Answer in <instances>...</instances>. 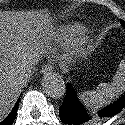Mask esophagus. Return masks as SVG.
Returning <instances> with one entry per match:
<instances>
[{
    "mask_svg": "<svg viewBox=\"0 0 125 125\" xmlns=\"http://www.w3.org/2000/svg\"><path fill=\"white\" fill-rule=\"evenodd\" d=\"M53 71V67L51 65H46L44 66V68L42 69V73L46 74V73H51Z\"/></svg>",
    "mask_w": 125,
    "mask_h": 125,
    "instance_id": "1",
    "label": "esophagus"
}]
</instances>
